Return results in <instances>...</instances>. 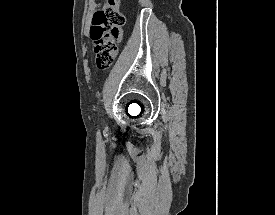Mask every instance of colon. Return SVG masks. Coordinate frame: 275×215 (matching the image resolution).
<instances>
[{
    "label": "colon",
    "mask_w": 275,
    "mask_h": 215,
    "mask_svg": "<svg viewBox=\"0 0 275 215\" xmlns=\"http://www.w3.org/2000/svg\"><path fill=\"white\" fill-rule=\"evenodd\" d=\"M125 17L120 11V0H105L93 16L90 37L94 42L98 67L110 66L123 37Z\"/></svg>",
    "instance_id": "5ec220e1"
}]
</instances>
